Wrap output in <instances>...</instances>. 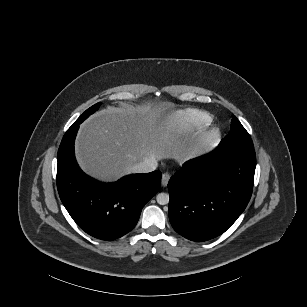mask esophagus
I'll use <instances>...</instances> for the list:
<instances>
[{
    "label": "esophagus",
    "mask_w": 307,
    "mask_h": 307,
    "mask_svg": "<svg viewBox=\"0 0 307 307\" xmlns=\"http://www.w3.org/2000/svg\"><path fill=\"white\" fill-rule=\"evenodd\" d=\"M169 179H170V174L165 172L162 175V178H161V184H162L163 187L167 186Z\"/></svg>",
    "instance_id": "obj_1"
}]
</instances>
